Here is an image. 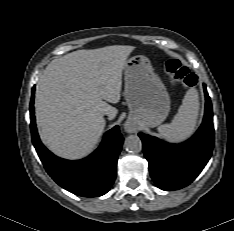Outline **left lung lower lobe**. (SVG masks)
I'll return each mask as SVG.
<instances>
[{"instance_id":"obj_1","label":"left lung lower lobe","mask_w":234,"mask_h":231,"mask_svg":"<svg viewBox=\"0 0 234 231\" xmlns=\"http://www.w3.org/2000/svg\"><path fill=\"white\" fill-rule=\"evenodd\" d=\"M204 93L206 107L202 125L186 142L170 144L144 133L138 134L150 175L162 190H177L189 185L211 157L214 146L213 112L205 85Z\"/></svg>"}]
</instances>
